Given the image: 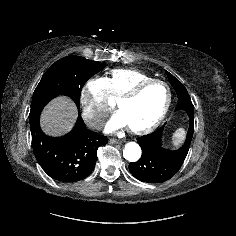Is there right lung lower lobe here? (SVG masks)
Here are the masks:
<instances>
[{
    "mask_svg": "<svg viewBox=\"0 0 236 236\" xmlns=\"http://www.w3.org/2000/svg\"><path fill=\"white\" fill-rule=\"evenodd\" d=\"M41 111L29 114L32 148L36 160L51 178L64 183L77 182L93 171L98 147L108 138L92 132L79 115L72 131L61 137L45 135L39 124Z\"/></svg>",
    "mask_w": 236,
    "mask_h": 236,
    "instance_id": "right-lung-lower-lobe-1",
    "label": "right lung lower lobe"
}]
</instances>
